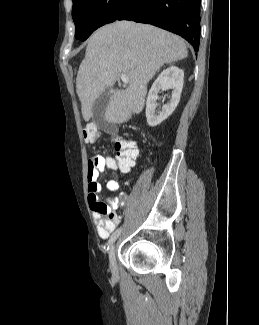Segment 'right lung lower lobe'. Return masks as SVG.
<instances>
[{
	"label": "right lung lower lobe",
	"instance_id": "right-lung-lower-lobe-1",
	"mask_svg": "<svg viewBox=\"0 0 259 325\" xmlns=\"http://www.w3.org/2000/svg\"><path fill=\"white\" fill-rule=\"evenodd\" d=\"M200 4L201 0H126L115 20L158 26L182 36L198 51Z\"/></svg>",
	"mask_w": 259,
	"mask_h": 325
}]
</instances>
